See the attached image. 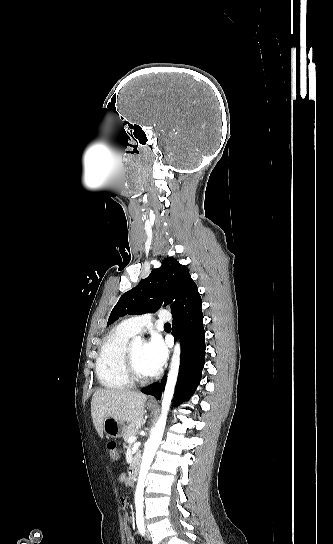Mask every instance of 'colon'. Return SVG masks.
<instances>
[{"label":"colon","instance_id":"obj_1","mask_svg":"<svg viewBox=\"0 0 333 544\" xmlns=\"http://www.w3.org/2000/svg\"><path fill=\"white\" fill-rule=\"evenodd\" d=\"M107 449L110 459L116 460L118 458V448L116 442L109 441L107 443Z\"/></svg>","mask_w":333,"mask_h":544}]
</instances>
